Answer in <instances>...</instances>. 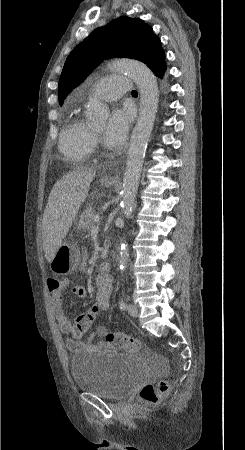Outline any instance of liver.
I'll return each instance as SVG.
<instances>
[{
	"label": "liver",
	"instance_id": "obj_1",
	"mask_svg": "<svg viewBox=\"0 0 245 450\" xmlns=\"http://www.w3.org/2000/svg\"><path fill=\"white\" fill-rule=\"evenodd\" d=\"M95 175V169L82 167L67 173L53 186L42 220L43 249L49 263L72 226Z\"/></svg>",
	"mask_w": 245,
	"mask_h": 450
}]
</instances>
